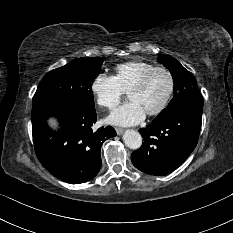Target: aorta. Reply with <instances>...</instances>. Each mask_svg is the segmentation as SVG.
Instances as JSON below:
<instances>
[{"instance_id":"aorta-1","label":"aorta","mask_w":233,"mask_h":233,"mask_svg":"<svg viewBox=\"0 0 233 233\" xmlns=\"http://www.w3.org/2000/svg\"><path fill=\"white\" fill-rule=\"evenodd\" d=\"M123 141L127 147L133 150L139 149L142 145V137L135 130H127L123 135Z\"/></svg>"}]
</instances>
